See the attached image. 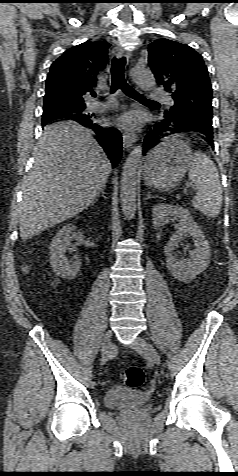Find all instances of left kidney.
<instances>
[{
	"mask_svg": "<svg viewBox=\"0 0 238 476\" xmlns=\"http://www.w3.org/2000/svg\"><path fill=\"white\" fill-rule=\"evenodd\" d=\"M153 226L160 228L168 224L170 220L179 219L178 229L172 235L164 247V254L167 257V268L178 280L188 283L197 275L202 273L210 261V248L201 228L194 221L190 212L183 207L158 203L154 205ZM187 235L193 239L195 250L192 251V259L181 261L174 257L173 250L179 242Z\"/></svg>",
	"mask_w": 238,
	"mask_h": 476,
	"instance_id": "left-kidney-1",
	"label": "left kidney"
}]
</instances>
